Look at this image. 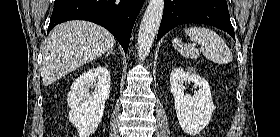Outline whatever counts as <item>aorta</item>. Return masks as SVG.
Listing matches in <instances>:
<instances>
[{
  "label": "aorta",
  "mask_w": 280,
  "mask_h": 137,
  "mask_svg": "<svg viewBox=\"0 0 280 137\" xmlns=\"http://www.w3.org/2000/svg\"><path fill=\"white\" fill-rule=\"evenodd\" d=\"M164 11L163 0H150L140 24L137 49L139 56L144 59L150 52L157 35Z\"/></svg>",
  "instance_id": "762f6f07"
}]
</instances>
